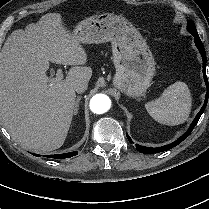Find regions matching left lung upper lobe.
I'll return each mask as SVG.
<instances>
[{"label":"left lung upper lobe","mask_w":209,"mask_h":209,"mask_svg":"<svg viewBox=\"0 0 209 209\" xmlns=\"http://www.w3.org/2000/svg\"><path fill=\"white\" fill-rule=\"evenodd\" d=\"M187 30L192 35L198 34L196 27L191 20H188Z\"/></svg>","instance_id":"1"}]
</instances>
